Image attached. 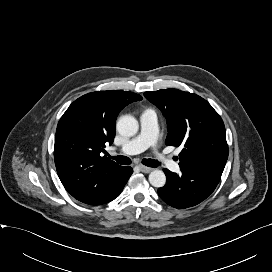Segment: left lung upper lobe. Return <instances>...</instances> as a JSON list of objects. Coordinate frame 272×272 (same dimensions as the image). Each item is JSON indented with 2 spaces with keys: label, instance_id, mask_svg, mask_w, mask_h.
Instances as JSON below:
<instances>
[{
  "label": "left lung upper lobe",
  "instance_id": "5c2ea615",
  "mask_svg": "<svg viewBox=\"0 0 272 272\" xmlns=\"http://www.w3.org/2000/svg\"><path fill=\"white\" fill-rule=\"evenodd\" d=\"M167 120L166 145L182 146L180 167L223 171L228 158L224 123L202 97L178 89L145 92Z\"/></svg>",
  "mask_w": 272,
  "mask_h": 272
}]
</instances>
